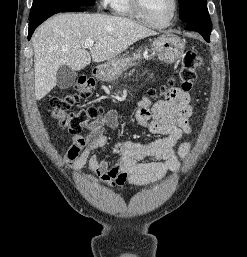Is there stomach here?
I'll list each match as a JSON object with an SVG mask.
<instances>
[{
	"instance_id": "0dacf381",
	"label": "stomach",
	"mask_w": 247,
	"mask_h": 257,
	"mask_svg": "<svg viewBox=\"0 0 247 257\" xmlns=\"http://www.w3.org/2000/svg\"><path fill=\"white\" fill-rule=\"evenodd\" d=\"M184 41L173 34H164L154 39L152 50L158 58L166 63L178 60L184 51ZM141 60L140 56L123 55L116 57L97 67L96 77L102 81H114L129 67L136 65Z\"/></svg>"
}]
</instances>
